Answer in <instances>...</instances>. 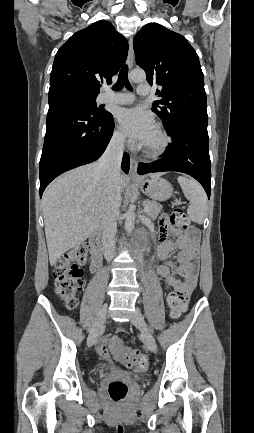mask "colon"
<instances>
[{
	"label": "colon",
	"instance_id": "obj_1",
	"mask_svg": "<svg viewBox=\"0 0 254 433\" xmlns=\"http://www.w3.org/2000/svg\"><path fill=\"white\" fill-rule=\"evenodd\" d=\"M168 220L175 228L188 230L187 234L191 236L197 235L196 229L190 225L183 208H175ZM86 255L87 247L85 245L70 249L61 256L53 271L55 292L69 309L77 306V295L84 286L82 264L86 260ZM168 304L174 318H178L186 308V303L181 300L177 293H171L168 296ZM111 343L114 348L121 351L120 360L126 366L140 372L147 368V359L144 354L138 351H122L120 342L116 338H113ZM108 394L112 401L120 402L129 394V387L122 381H113L108 386Z\"/></svg>",
	"mask_w": 254,
	"mask_h": 433
}]
</instances>
